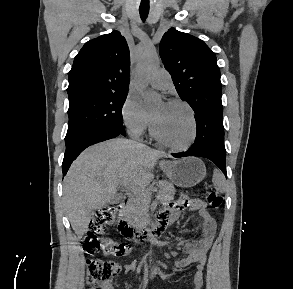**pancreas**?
Masks as SVG:
<instances>
[{"instance_id": "cf45deb5", "label": "pancreas", "mask_w": 293, "mask_h": 289, "mask_svg": "<svg viewBox=\"0 0 293 289\" xmlns=\"http://www.w3.org/2000/svg\"><path fill=\"white\" fill-rule=\"evenodd\" d=\"M159 196L162 201L172 200L175 195V188L168 181L159 182ZM150 189L143 193L134 194L130 203L124 210L128 222L137 228L145 226L149 222L148 206L150 203Z\"/></svg>"}]
</instances>
